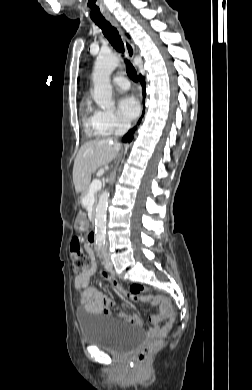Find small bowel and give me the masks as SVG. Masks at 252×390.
I'll return each mask as SVG.
<instances>
[{
	"instance_id": "small-bowel-1",
	"label": "small bowel",
	"mask_w": 252,
	"mask_h": 390,
	"mask_svg": "<svg viewBox=\"0 0 252 390\" xmlns=\"http://www.w3.org/2000/svg\"><path fill=\"white\" fill-rule=\"evenodd\" d=\"M94 272L95 267L91 266L86 271L77 274L74 278V287L76 290L80 291V304L90 313L110 315V308L114 304L113 300L109 296L104 295L98 289L89 285L90 277L94 274ZM107 280L110 284H113L114 282L117 283L113 277H107ZM118 286L120 285L118 284ZM116 290L121 295L133 300L151 301L155 305L156 311L150 317V321L153 326L148 329L150 336L156 337L169 331L174 321V314L171 310V303L169 299L153 297L151 295L141 293L137 295H128L124 290H120L118 288H116ZM117 315L120 319L128 323L139 324L141 321L138 315H129L121 310L118 311ZM162 322L163 324L161 325Z\"/></svg>"
}]
</instances>
